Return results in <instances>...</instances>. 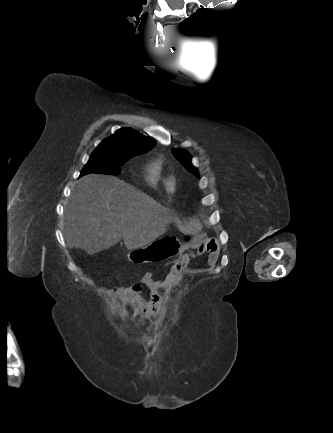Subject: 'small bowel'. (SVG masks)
<instances>
[{"mask_svg": "<svg viewBox=\"0 0 333 433\" xmlns=\"http://www.w3.org/2000/svg\"><path fill=\"white\" fill-rule=\"evenodd\" d=\"M200 255H206L207 265L213 267L219 258V246L217 243H203L191 248L179 247L168 279L158 280L152 272H146L139 282L116 290L114 295L130 306L128 315L131 319H135L140 314L152 316L156 310L166 304V294L172 288L175 280L189 266L191 260ZM145 290L149 294L147 302L142 297Z\"/></svg>", "mask_w": 333, "mask_h": 433, "instance_id": "1", "label": "small bowel"}]
</instances>
